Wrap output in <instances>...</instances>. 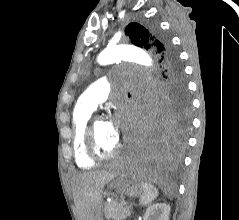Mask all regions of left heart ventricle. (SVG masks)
Returning a JSON list of instances; mask_svg holds the SVG:
<instances>
[{"instance_id": "b2bd125f", "label": "left heart ventricle", "mask_w": 239, "mask_h": 220, "mask_svg": "<svg viewBox=\"0 0 239 220\" xmlns=\"http://www.w3.org/2000/svg\"><path fill=\"white\" fill-rule=\"evenodd\" d=\"M95 137L98 149L102 153L112 151L118 144L119 139L111 131L109 121L99 120L95 123Z\"/></svg>"}]
</instances>
